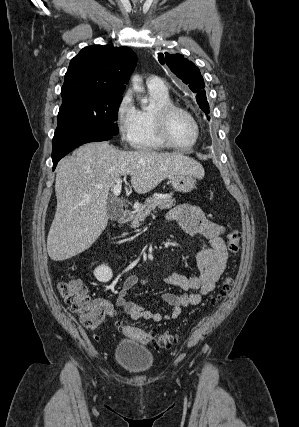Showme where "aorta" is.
I'll return each mask as SVG.
<instances>
[{"label":"aorta","instance_id":"aorta-1","mask_svg":"<svg viewBox=\"0 0 299 427\" xmlns=\"http://www.w3.org/2000/svg\"><path fill=\"white\" fill-rule=\"evenodd\" d=\"M132 81H133V88H134V90H135V91H137V92H142V91H143V88H142V87L140 86V84H139V82H140V77H139V76H137V75H135V76L133 77ZM141 102H142L143 104H146V103H147V99H142V100H141Z\"/></svg>","mask_w":299,"mask_h":427}]
</instances>
